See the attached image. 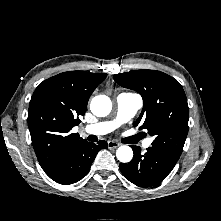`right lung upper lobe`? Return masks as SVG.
<instances>
[{
    "label": "right lung upper lobe",
    "mask_w": 221,
    "mask_h": 221,
    "mask_svg": "<svg viewBox=\"0 0 221 221\" xmlns=\"http://www.w3.org/2000/svg\"><path fill=\"white\" fill-rule=\"evenodd\" d=\"M106 76L85 71L64 72L36 88L29 103L28 127L41 167L86 141L70 131L80 123L89 97Z\"/></svg>",
    "instance_id": "1"
}]
</instances>
